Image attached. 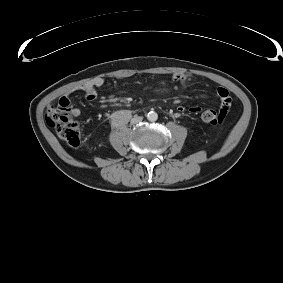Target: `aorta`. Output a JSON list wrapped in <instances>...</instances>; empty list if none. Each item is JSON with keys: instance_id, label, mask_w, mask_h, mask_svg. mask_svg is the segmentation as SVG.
Returning <instances> with one entry per match:
<instances>
[{"instance_id": "762f6f07", "label": "aorta", "mask_w": 283, "mask_h": 283, "mask_svg": "<svg viewBox=\"0 0 283 283\" xmlns=\"http://www.w3.org/2000/svg\"><path fill=\"white\" fill-rule=\"evenodd\" d=\"M147 119L150 121V122H155L157 119H158V114L154 111H150L148 114H147Z\"/></svg>"}]
</instances>
